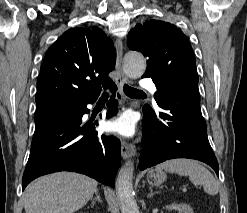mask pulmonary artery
Here are the masks:
<instances>
[{
  "label": "pulmonary artery",
  "mask_w": 247,
  "mask_h": 213,
  "mask_svg": "<svg viewBox=\"0 0 247 213\" xmlns=\"http://www.w3.org/2000/svg\"><path fill=\"white\" fill-rule=\"evenodd\" d=\"M141 87L148 90L151 94L157 92V88L150 79H143L141 82Z\"/></svg>",
  "instance_id": "1"
}]
</instances>
